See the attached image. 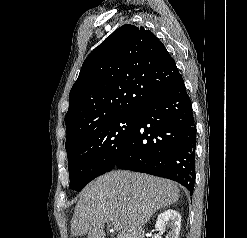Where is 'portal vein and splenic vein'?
<instances>
[{
    "label": "portal vein and splenic vein",
    "instance_id": "1",
    "mask_svg": "<svg viewBox=\"0 0 247 238\" xmlns=\"http://www.w3.org/2000/svg\"><path fill=\"white\" fill-rule=\"evenodd\" d=\"M112 229L114 230H120L121 229V224L118 222H115L112 224Z\"/></svg>",
    "mask_w": 247,
    "mask_h": 238
}]
</instances>
